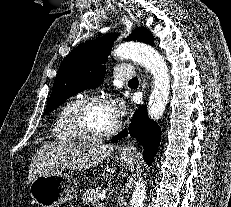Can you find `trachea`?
<instances>
[{"instance_id":"obj_1","label":"trachea","mask_w":231,"mask_h":207,"mask_svg":"<svg viewBox=\"0 0 231 207\" xmlns=\"http://www.w3.org/2000/svg\"><path fill=\"white\" fill-rule=\"evenodd\" d=\"M138 82L139 81H138L137 77H135V78H133L132 80L129 81V83H138Z\"/></svg>"}]
</instances>
